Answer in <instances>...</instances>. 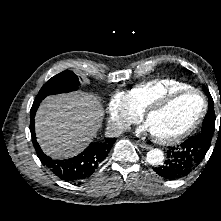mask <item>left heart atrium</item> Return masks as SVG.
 Wrapping results in <instances>:
<instances>
[{
  "mask_svg": "<svg viewBox=\"0 0 221 221\" xmlns=\"http://www.w3.org/2000/svg\"><path fill=\"white\" fill-rule=\"evenodd\" d=\"M138 132H143V133H147V132H151L149 127L147 126V124L143 125L139 130Z\"/></svg>",
  "mask_w": 221,
  "mask_h": 221,
  "instance_id": "obj_1",
  "label": "left heart atrium"
}]
</instances>
